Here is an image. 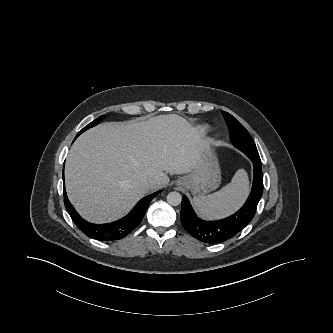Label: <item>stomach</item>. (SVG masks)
I'll use <instances>...</instances> for the list:
<instances>
[{
  "mask_svg": "<svg viewBox=\"0 0 333 333\" xmlns=\"http://www.w3.org/2000/svg\"><path fill=\"white\" fill-rule=\"evenodd\" d=\"M220 168L213 150L208 146L196 166L185 176L177 180V185L197 196L205 194L218 188L220 184Z\"/></svg>",
  "mask_w": 333,
  "mask_h": 333,
  "instance_id": "obj_1",
  "label": "stomach"
}]
</instances>
